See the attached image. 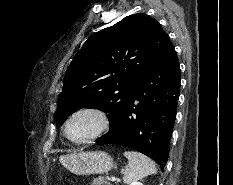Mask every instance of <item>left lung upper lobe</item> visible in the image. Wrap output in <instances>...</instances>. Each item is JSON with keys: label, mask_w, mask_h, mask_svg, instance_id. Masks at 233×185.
<instances>
[{"label": "left lung upper lobe", "mask_w": 233, "mask_h": 185, "mask_svg": "<svg viewBox=\"0 0 233 185\" xmlns=\"http://www.w3.org/2000/svg\"><path fill=\"white\" fill-rule=\"evenodd\" d=\"M149 15L133 14L88 38L64 77L56 121L81 108L108 113L112 128L131 101L141 76L169 42Z\"/></svg>", "instance_id": "5c2ea615"}]
</instances>
